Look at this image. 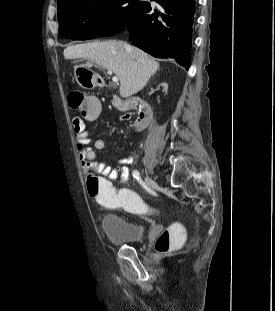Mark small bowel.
<instances>
[{
    "label": "small bowel",
    "instance_id": "c3829d8e",
    "mask_svg": "<svg viewBox=\"0 0 275 311\" xmlns=\"http://www.w3.org/2000/svg\"><path fill=\"white\" fill-rule=\"evenodd\" d=\"M130 116V114H127L124 119L130 118ZM73 129L76 133L78 158L85 176L104 175L105 178H111V181L118 180L120 184H125L129 177L127 165L132 163V158H122L119 161V166L115 168L105 162L98 161L96 160L95 150H103L106 146L105 140L102 138L96 139L93 147H91L90 134L85 128L84 121H81L80 118L73 120Z\"/></svg>",
    "mask_w": 275,
    "mask_h": 311
}]
</instances>
